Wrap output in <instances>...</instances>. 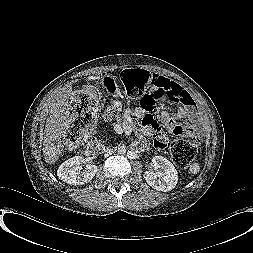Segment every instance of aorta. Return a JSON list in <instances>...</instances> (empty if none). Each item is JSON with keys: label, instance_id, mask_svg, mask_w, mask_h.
Segmentation results:
<instances>
[{"label": "aorta", "instance_id": "aorta-1", "mask_svg": "<svg viewBox=\"0 0 253 253\" xmlns=\"http://www.w3.org/2000/svg\"><path fill=\"white\" fill-rule=\"evenodd\" d=\"M117 150H118V153L122 154V155L125 154L126 151H127L126 148L124 146H122V145L119 146Z\"/></svg>", "mask_w": 253, "mask_h": 253}]
</instances>
